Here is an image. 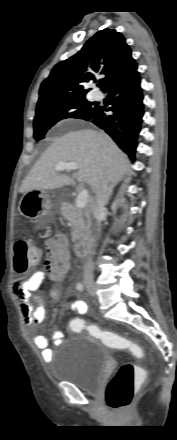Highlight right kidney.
<instances>
[{"label":"right kidney","instance_id":"obj_1","mask_svg":"<svg viewBox=\"0 0 177 440\" xmlns=\"http://www.w3.org/2000/svg\"><path fill=\"white\" fill-rule=\"evenodd\" d=\"M113 211L115 210V205L112 206Z\"/></svg>","mask_w":177,"mask_h":440}]
</instances>
